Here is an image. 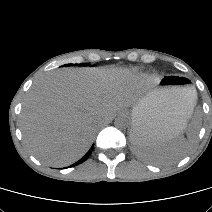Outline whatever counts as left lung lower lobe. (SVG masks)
<instances>
[{
  "label": "left lung lower lobe",
  "mask_w": 212,
  "mask_h": 212,
  "mask_svg": "<svg viewBox=\"0 0 212 212\" xmlns=\"http://www.w3.org/2000/svg\"><path fill=\"white\" fill-rule=\"evenodd\" d=\"M140 130H136L134 133H133V142H134V145L135 147L137 148L138 146V134ZM140 135V134H139Z\"/></svg>",
  "instance_id": "1"
}]
</instances>
